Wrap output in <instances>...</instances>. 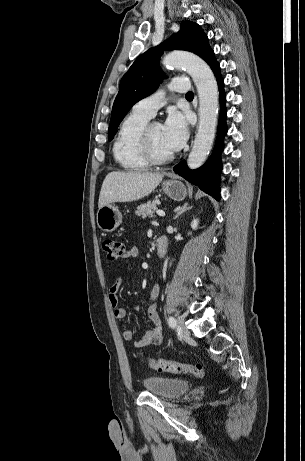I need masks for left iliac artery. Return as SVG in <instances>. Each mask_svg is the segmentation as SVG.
I'll return each mask as SVG.
<instances>
[{
	"label": "left iliac artery",
	"mask_w": 305,
	"mask_h": 461,
	"mask_svg": "<svg viewBox=\"0 0 305 461\" xmlns=\"http://www.w3.org/2000/svg\"><path fill=\"white\" fill-rule=\"evenodd\" d=\"M168 324L171 328H176L177 327V321L174 319V317L170 316L168 318Z\"/></svg>",
	"instance_id": "1"
}]
</instances>
